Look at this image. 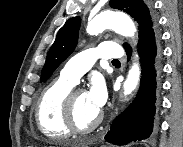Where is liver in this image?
<instances>
[{
	"instance_id": "1",
	"label": "liver",
	"mask_w": 183,
	"mask_h": 147,
	"mask_svg": "<svg viewBox=\"0 0 183 147\" xmlns=\"http://www.w3.org/2000/svg\"><path fill=\"white\" fill-rule=\"evenodd\" d=\"M63 147H79V146H85V143L82 141H66L61 143Z\"/></svg>"
}]
</instances>
